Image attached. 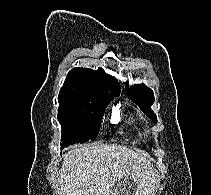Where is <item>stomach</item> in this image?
Instances as JSON below:
<instances>
[{"label":"stomach","mask_w":211,"mask_h":195,"mask_svg":"<svg viewBox=\"0 0 211 195\" xmlns=\"http://www.w3.org/2000/svg\"><path fill=\"white\" fill-rule=\"evenodd\" d=\"M131 184H133V182H130L129 179H124L119 183V186H121V188L125 189L127 186H131ZM133 186L135 187L134 191L136 192L137 191L136 186L134 184H133ZM130 195H135V194H130Z\"/></svg>","instance_id":"1"}]
</instances>
